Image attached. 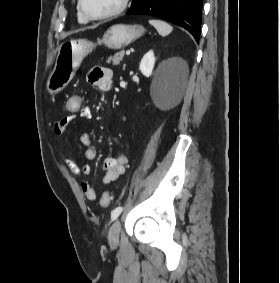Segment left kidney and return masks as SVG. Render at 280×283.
Returning <instances> with one entry per match:
<instances>
[{"instance_id":"1","label":"left kidney","mask_w":280,"mask_h":283,"mask_svg":"<svg viewBox=\"0 0 280 283\" xmlns=\"http://www.w3.org/2000/svg\"><path fill=\"white\" fill-rule=\"evenodd\" d=\"M175 61L178 64H183V61L180 60V59H175ZM154 64H155L154 52H153V50H150L142 58V60L139 64V69L145 77H149L152 74Z\"/></svg>"}]
</instances>
